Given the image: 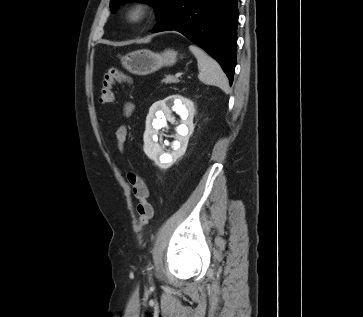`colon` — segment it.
Instances as JSON below:
<instances>
[{
	"label": "colon",
	"instance_id": "obj_1",
	"mask_svg": "<svg viewBox=\"0 0 363 317\" xmlns=\"http://www.w3.org/2000/svg\"><path fill=\"white\" fill-rule=\"evenodd\" d=\"M130 78L116 68H110L104 75L99 92V102L109 104L114 101V85L116 83H129ZM128 180L133 188V193L138 200V225L144 228L153 216V207L149 202V190L145 180L137 171H130Z\"/></svg>",
	"mask_w": 363,
	"mask_h": 317
}]
</instances>
